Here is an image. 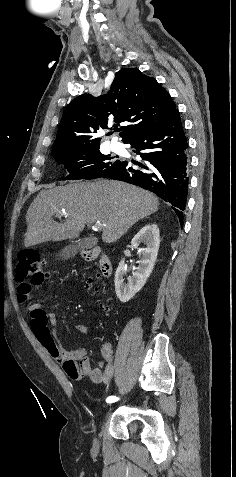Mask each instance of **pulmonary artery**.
Wrapping results in <instances>:
<instances>
[{
	"label": "pulmonary artery",
	"instance_id": "1",
	"mask_svg": "<svg viewBox=\"0 0 236 477\" xmlns=\"http://www.w3.org/2000/svg\"><path fill=\"white\" fill-rule=\"evenodd\" d=\"M111 146L116 149L117 148V143H112Z\"/></svg>",
	"mask_w": 236,
	"mask_h": 477
}]
</instances>
